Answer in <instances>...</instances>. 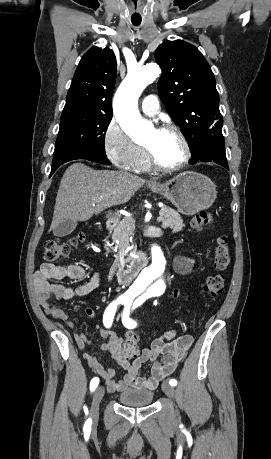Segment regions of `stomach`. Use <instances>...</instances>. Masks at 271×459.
I'll return each instance as SVG.
<instances>
[{
	"label": "stomach",
	"instance_id": "0dacf381",
	"mask_svg": "<svg viewBox=\"0 0 271 459\" xmlns=\"http://www.w3.org/2000/svg\"><path fill=\"white\" fill-rule=\"evenodd\" d=\"M151 192L164 196L185 216L208 210L217 198L216 186L210 178L197 172H182L165 184L147 186Z\"/></svg>",
	"mask_w": 271,
	"mask_h": 459
}]
</instances>
